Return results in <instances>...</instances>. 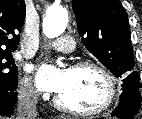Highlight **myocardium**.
<instances>
[{"mask_svg": "<svg viewBox=\"0 0 142 119\" xmlns=\"http://www.w3.org/2000/svg\"><path fill=\"white\" fill-rule=\"evenodd\" d=\"M72 70H85L93 69L96 70L103 78L106 85V93L103 102L94 109L90 110H79L72 108L64 104L59 96H56L54 99L55 106L67 113L77 115V116H96L100 115L103 112L107 111L114 103L116 97V84L111 73L101 64L93 61H80L75 63L72 67Z\"/></svg>", "mask_w": 142, "mask_h": 119, "instance_id": "myocardium-1", "label": "myocardium"}]
</instances>
